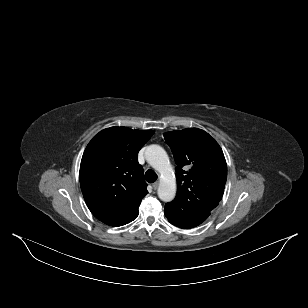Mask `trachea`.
Here are the masks:
<instances>
[{
	"label": "trachea",
	"instance_id": "1",
	"mask_svg": "<svg viewBox=\"0 0 308 308\" xmlns=\"http://www.w3.org/2000/svg\"><path fill=\"white\" fill-rule=\"evenodd\" d=\"M145 180L148 183H153L157 180V174L153 170H147L145 173Z\"/></svg>",
	"mask_w": 308,
	"mask_h": 308
}]
</instances>
